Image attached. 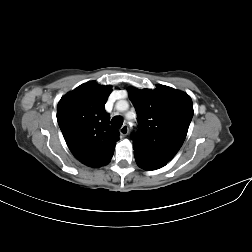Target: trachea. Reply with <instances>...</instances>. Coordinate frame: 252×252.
<instances>
[{
  "instance_id": "obj_1",
  "label": "trachea",
  "mask_w": 252,
  "mask_h": 252,
  "mask_svg": "<svg viewBox=\"0 0 252 252\" xmlns=\"http://www.w3.org/2000/svg\"><path fill=\"white\" fill-rule=\"evenodd\" d=\"M111 124L116 128H120L123 124V118L121 116H114L111 120Z\"/></svg>"
}]
</instances>
